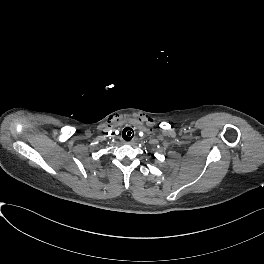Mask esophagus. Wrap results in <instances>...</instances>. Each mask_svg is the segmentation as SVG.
<instances>
[{
    "instance_id": "esophagus-1",
    "label": "esophagus",
    "mask_w": 264,
    "mask_h": 264,
    "mask_svg": "<svg viewBox=\"0 0 264 264\" xmlns=\"http://www.w3.org/2000/svg\"><path fill=\"white\" fill-rule=\"evenodd\" d=\"M125 144H131V142L130 141H127V142H125Z\"/></svg>"
}]
</instances>
